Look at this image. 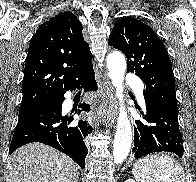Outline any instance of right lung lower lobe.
Instances as JSON below:
<instances>
[{"label": "right lung lower lobe", "instance_id": "1", "mask_svg": "<svg viewBox=\"0 0 196 182\" xmlns=\"http://www.w3.org/2000/svg\"><path fill=\"white\" fill-rule=\"evenodd\" d=\"M80 85L85 87V91L97 90L93 66L68 84L57 96L52 98L49 104L19 115L9 154L27 143L41 142L65 153L84 169L85 157L88 153L84 140L90 133L91 127L86 121L81 120L76 126H71L73 117L63 116L61 112L65 92L75 90ZM79 108L81 110H78V114L81 111H90V106L85 103H80Z\"/></svg>", "mask_w": 196, "mask_h": 182}]
</instances>
